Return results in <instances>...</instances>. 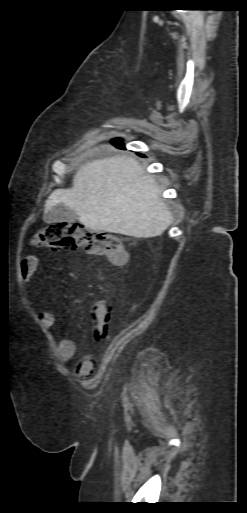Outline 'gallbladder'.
I'll return each instance as SVG.
<instances>
[{"instance_id": "obj_1", "label": "gallbladder", "mask_w": 247, "mask_h": 513, "mask_svg": "<svg viewBox=\"0 0 247 513\" xmlns=\"http://www.w3.org/2000/svg\"><path fill=\"white\" fill-rule=\"evenodd\" d=\"M48 223L68 222L73 223L77 220V214L64 204H57L46 216Z\"/></svg>"}]
</instances>
